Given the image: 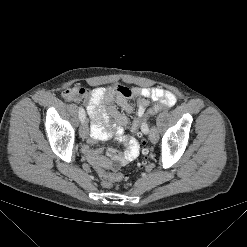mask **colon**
Wrapping results in <instances>:
<instances>
[{"label":"colon","instance_id":"obj_1","mask_svg":"<svg viewBox=\"0 0 247 247\" xmlns=\"http://www.w3.org/2000/svg\"><path fill=\"white\" fill-rule=\"evenodd\" d=\"M118 92L121 93L122 95L128 96L130 93V89L125 86H119ZM168 107L169 106H167L166 104L158 103L154 105L153 107L148 108L142 116L137 117L133 121V124H132L133 133L137 135H141V131L143 130L144 125H146L147 120L154 114ZM141 152H142L143 157H142V160L138 162L137 164L139 169H142L145 167L147 163V158L149 155V149H148V146L145 140H142V151ZM97 172H98L99 177L102 180V185L105 188H110L112 187L114 182L126 179V176L121 173H110L102 169L98 170Z\"/></svg>","mask_w":247,"mask_h":247}]
</instances>
